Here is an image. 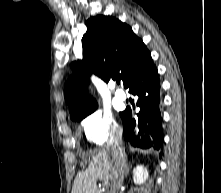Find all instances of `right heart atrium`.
Instances as JSON below:
<instances>
[{"label": "right heart atrium", "instance_id": "1", "mask_svg": "<svg viewBox=\"0 0 221 193\" xmlns=\"http://www.w3.org/2000/svg\"><path fill=\"white\" fill-rule=\"evenodd\" d=\"M82 128L88 142L95 146L105 145L119 137L121 128L111 111L95 109L82 121Z\"/></svg>", "mask_w": 221, "mask_h": 193}]
</instances>
